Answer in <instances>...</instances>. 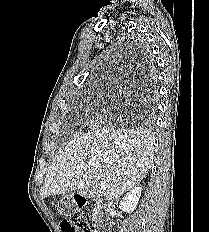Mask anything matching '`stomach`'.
<instances>
[{
    "mask_svg": "<svg viewBox=\"0 0 209 232\" xmlns=\"http://www.w3.org/2000/svg\"><path fill=\"white\" fill-rule=\"evenodd\" d=\"M75 198H60L57 201L59 214H64V218H73V214H78V209L74 206Z\"/></svg>",
    "mask_w": 209,
    "mask_h": 232,
    "instance_id": "stomach-1",
    "label": "stomach"
}]
</instances>
